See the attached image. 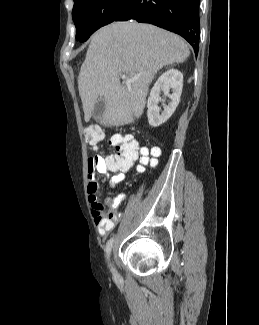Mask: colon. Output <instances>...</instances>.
I'll return each mask as SVG.
<instances>
[{"instance_id": "1", "label": "colon", "mask_w": 259, "mask_h": 325, "mask_svg": "<svg viewBox=\"0 0 259 325\" xmlns=\"http://www.w3.org/2000/svg\"><path fill=\"white\" fill-rule=\"evenodd\" d=\"M85 137L93 145L98 144L103 139V132L94 126H88L84 130ZM111 145L116 150V155L120 160L122 166L128 165V163L138 155H141L139 170H143L145 166H155L157 164V158L160 155V151L150 152L146 148L140 149L135 140L131 137L114 135L110 140ZM91 161V158H89Z\"/></svg>"}]
</instances>
